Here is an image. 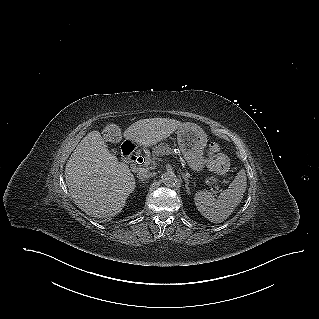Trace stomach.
<instances>
[{"label":"stomach","instance_id":"stomach-1","mask_svg":"<svg viewBox=\"0 0 319 319\" xmlns=\"http://www.w3.org/2000/svg\"><path fill=\"white\" fill-rule=\"evenodd\" d=\"M177 140L180 151L191 170L196 173L205 167L204 148L207 144V135L196 124L187 123L177 131Z\"/></svg>","mask_w":319,"mask_h":319}]
</instances>
